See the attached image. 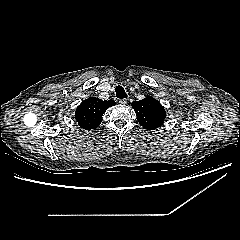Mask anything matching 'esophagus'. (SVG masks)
<instances>
[{
	"mask_svg": "<svg viewBox=\"0 0 240 240\" xmlns=\"http://www.w3.org/2000/svg\"><path fill=\"white\" fill-rule=\"evenodd\" d=\"M128 100L123 98V99H119V103L124 105V104H127Z\"/></svg>",
	"mask_w": 240,
	"mask_h": 240,
	"instance_id": "obj_1",
	"label": "esophagus"
}]
</instances>
